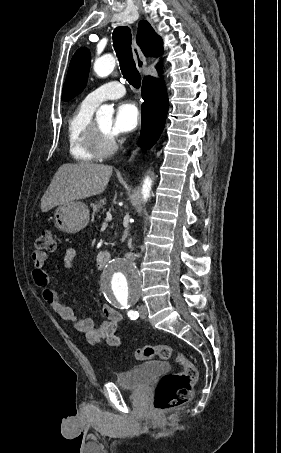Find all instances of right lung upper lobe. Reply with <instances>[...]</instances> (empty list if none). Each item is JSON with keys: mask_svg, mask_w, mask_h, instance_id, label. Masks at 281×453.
I'll list each match as a JSON object with an SVG mask.
<instances>
[{"mask_svg": "<svg viewBox=\"0 0 281 453\" xmlns=\"http://www.w3.org/2000/svg\"><path fill=\"white\" fill-rule=\"evenodd\" d=\"M136 41L146 56H159L163 52L161 37L145 20L139 22Z\"/></svg>", "mask_w": 281, "mask_h": 453, "instance_id": "1", "label": "right lung upper lobe"}]
</instances>
